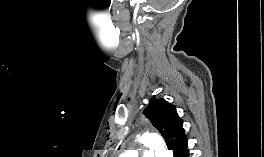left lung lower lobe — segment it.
Segmentation results:
<instances>
[{
	"mask_svg": "<svg viewBox=\"0 0 264 157\" xmlns=\"http://www.w3.org/2000/svg\"><path fill=\"white\" fill-rule=\"evenodd\" d=\"M187 139L183 140L173 149L174 157H189Z\"/></svg>",
	"mask_w": 264,
	"mask_h": 157,
	"instance_id": "obj_1",
	"label": "left lung lower lobe"
}]
</instances>
